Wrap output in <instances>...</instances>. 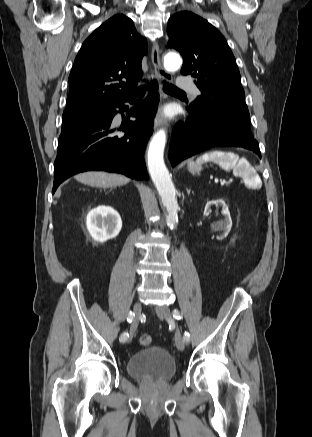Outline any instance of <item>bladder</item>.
<instances>
[{"label":"bladder","mask_w":312,"mask_h":437,"mask_svg":"<svg viewBox=\"0 0 312 437\" xmlns=\"http://www.w3.org/2000/svg\"><path fill=\"white\" fill-rule=\"evenodd\" d=\"M126 368L133 378L159 382L171 379L177 371L174 358L161 346L136 351L128 358Z\"/></svg>","instance_id":"31cf9c89"}]
</instances>
